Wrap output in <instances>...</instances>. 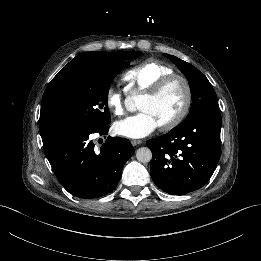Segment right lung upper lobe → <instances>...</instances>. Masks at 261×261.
Instances as JSON below:
<instances>
[{
    "mask_svg": "<svg viewBox=\"0 0 261 261\" xmlns=\"http://www.w3.org/2000/svg\"><path fill=\"white\" fill-rule=\"evenodd\" d=\"M128 52H85L66 64L47 86L41 105L40 132L58 136L67 131V119L63 110L58 84L73 67L84 62H122Z\"/></svg>",
    "mask_w": 261,
    "mask_h": 261,
    "instance_id": "right-lung-upper-lobe-1",
    "label": "right lung upper lobe"
}]
</instances>
